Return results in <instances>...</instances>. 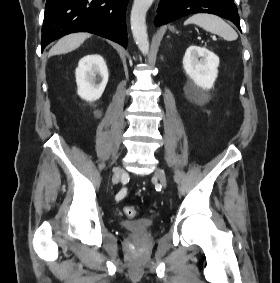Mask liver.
Segmentation results:
<instances>
[{
  "label": "liver",
  "instance_id": "liver-1",
  "mask_svg": "<svg viewBox=\"0 0 280 283\" xmlns=\"http://www.w3.org/2000/svg\"><path fill=\"white\" fill-rule=\"evenodd\" d=\"M89 33H73L61 38L49 51V56L71 52L77 49L87 38Z\"/></svg>",
  "mask_w": 280,
  "mask_h": 283
}]
</instances>
